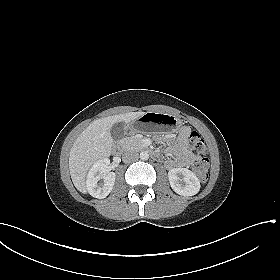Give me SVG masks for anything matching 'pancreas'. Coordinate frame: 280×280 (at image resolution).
Wrapping results in <instances>:
<instances>
[{
	"label": "pancreas",
	"mask_w": 280,
	"mask_h": 280,
	"mask_svg": "<svg viewBox=\"0 0 280 280\" xmlns=\"http://www.w3.org/2000/svg\"><path fill=\"white\" fill-rule=\"evenodd\" d=\"M126 149L141 150L144 148L142 138L139 136L127 137L124 143Z\"/></svg>",
	"instance_id": "1"
}]
</instances>
